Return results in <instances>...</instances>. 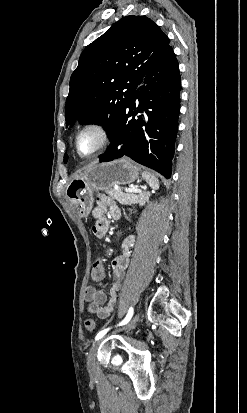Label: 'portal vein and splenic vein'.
I'll list each match as a JSON object with an SVG mask.
<instances>
[{"mask_svg":"<svg viewBox=\"0 0 247 413\" xmlns=\"http://www.w3.org/2000/svg\"><path fill=\"white\" fill-rule=\"evenodd\" d=\"M126 192H141V188H125Z\"/></svg>","mask_w":247,"mask_h":413,"instance_id":"1","label":"portal vein and splenic vein"}]
</instances>
